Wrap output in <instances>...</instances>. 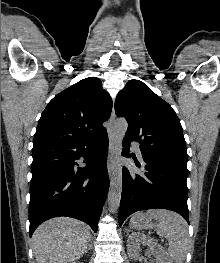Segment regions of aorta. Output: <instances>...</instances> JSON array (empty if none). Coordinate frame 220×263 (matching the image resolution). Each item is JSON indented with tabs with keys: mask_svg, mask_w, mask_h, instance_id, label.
I'll return each instance as SVG.
<instances>
[{
	"mask_svg": "<svg viewBox=\"0 0 220 263\" xmlns=\"http://www.w3.org/2000/svg\"><path fill=\"white\" fill-rule=\"evenodd\" d=\"M128 128V123L125 119L120 118L114 122L113 134L117 146V163L114 167L110 188L108 193V204L111 212H116L119 208L122 194V141Z\"/></svg>",
	"mask_w": 220,
	"mask_h": 263,
	"instance_id": "obj_1",
	"label": "aorta"
}]
</instances>
